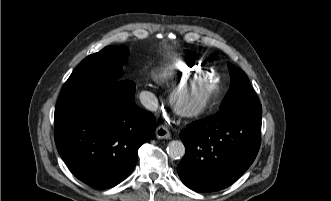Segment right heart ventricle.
Segmentation results:
<instances>
[{
  "label": "right heart ventricle",
  "mask_w": 331,
  "mask_h": 201,
  "mask_svg": "<svg viewBox=\"0 0 331 201\" xmlns=\"http://www.w3.org/2000/svg\"><path fill=\"white\" fill-rule=\"evenodd\" d=\"M205 70L199 61L195 59L170 62L159 66L153 76L159 82H169L183 76H199Z\"/></svg>",
  "instance_id": "obj_1"
}]
</instances>
